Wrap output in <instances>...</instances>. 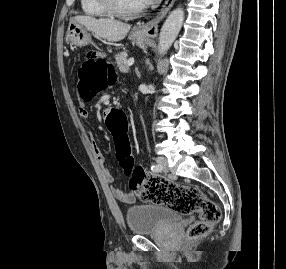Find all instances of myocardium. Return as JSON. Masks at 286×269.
<instances>
[{
    "label": "myocardium",
    "mask_w": 286,
    "mask_h": 269,
    "mask_svg": "<svg viewBox=\"0 0 286 269\" xmlns=\"http://www.w3.org/2000/svg\"><path fill=\"white\" fill-rule=\"evenodd\" d=\"M98 1L102 9L108 15L116 18H122V19L132 18L140 15L145 9V6L143 5L132 11H124L119 8V6L116 3V0H98Z\"/></svg>",
    "instance_id": "myocardium-1"
}]
</instances>
